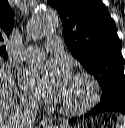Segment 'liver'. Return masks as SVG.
<instances>
[{"label": "liver", "mask_w": 125, "mask_h": 128, "mask_svg": "<svg viewBox=\"0 0 125 128\" xmlns=\"http://www.w3.org/2000/svg\"><path fill=\"white\" fill-rule=\"evenodd\" d=\"M20 110L11 76L0 67V128H18Z\"/></svg>", "instance_id": "6515ba94"}]
</instances>
